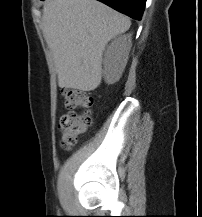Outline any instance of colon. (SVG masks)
Returning a JSON list of instances; mask_svg holds the SVG:
<instances>
[{
    "instance_id": "5ec220e1",
    "label": "colon",
    "mask_w": 202,
    "mask_h": 217,
    "mask_svg": "<svg viewBox=\"0 0 202 217\" xmlns=\"http://www.w3.org/2000/svg\"><path fill=\"white\" fill-rule=\"evenodd\" d=\"M63 98L67 112L61 116L59 121L62 133L61 146L69 150L76 145L91 124L89 109L93 105V98L86 92L74 89H65ZM78 109H84V112L78 113Z\"/></svg>"
}]
</instances>
